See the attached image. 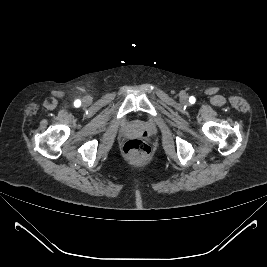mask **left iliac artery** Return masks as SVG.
<instances>
[{
    "label": "left iliac artery",
    "instance_id": "obj_1",
    "mask_svg": "<svg viewBox=\"0 0 267 267\" xmlns=\"http://www.w3.org/2000/svg\"><path fill=\"white\" fill-rule=\"evenodd\" d=\"M189 101H190V103H194L195 102V98L194 97H190Z\"/></svg>",
    "mask_w": 267,
    "mask_h": 267
}]
</instances>
